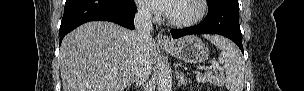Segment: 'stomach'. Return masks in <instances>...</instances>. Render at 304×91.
I'll list each match as a JSON object with an SVG mask.
<instances>
[{"label": "stomach", "instance_id": "0dacf381", "mask_svg": "<svg viewBox=\"0 0 304 91\" xmlns=\"http://www.w3.org/2000/svg\"><path fill=\"white\" fill-rule=\"evenodd\" d=\"M163 48L176 59L190 64L205 62L209 56V50L196 36L180 38Z\"/></svg>", "mask_w": 304, "mask_h": 91}]
</instances>
